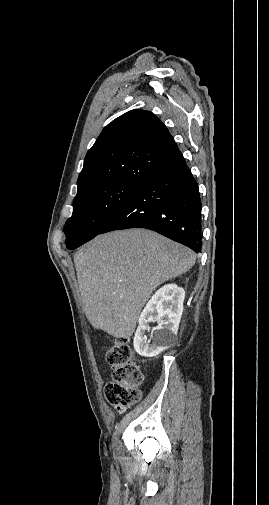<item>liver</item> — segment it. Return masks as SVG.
<instances>
[{
	"label": "liver",
	"mask_w": 269,
	"mask_h": 505,
	"mask_svg": "<svg viewBox=\"0 0 269 505\" xmlns=\"http://www.w3.org/2000/svg\"><path fill=\"white\" fill-rule=\"evenodd\" d=\"M195 261L189 248L150 230L99 235L74 255L83 311L94 328L129 339L152 292Z\"/></svg>",
	"instance_id": "6515ba94"
}]
</instances>
